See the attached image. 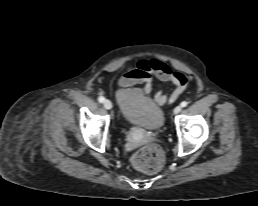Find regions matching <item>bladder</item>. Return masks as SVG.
Returning <instances> with one entry per match:
<instances>
[{
    "instance_id": "bladder-1",
    "label": "bladder",
    "mask_w": 258,
    "mask_h": 206,
    "mask_svg": "<svg viewBox=\"0 0 258 206\" xmlns=\"http://www.w3.org/2000/svg\"><path fill=\"white\" fill-rule=\"evenodd\" d=\"M116 100L122 117L128 123L150 131L163 126L165 114L162 107L140 89H120L116 93Z\"/></svg>"
}]
</instances>
